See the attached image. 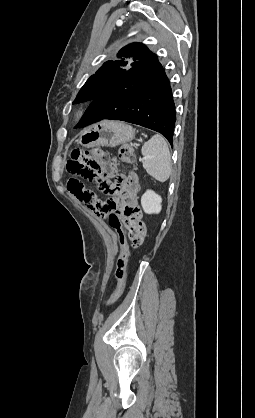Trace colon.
Masks as SVG:
<instances>
[{
    "instance_id": "1",
    "label": "colon",
    "mask_w": 255,
    "mask_h": 418,
    "mask_svg": "<svg viewBox=\"0 0 255 418\" xmlns=\"http://www.w3.org/2000/svg\"><path fill=\"white\" fill-rule=\"evenodd\" d=\"M118 157L122 164L129 165L134 160V154L130 146L124 145L119 149ZM67 170L72 175L79 176L89 182L98 185L101 192L109 194L106 200H101L91 190L86 189L83 183L72 177L68 181V189L85 205L93 210L98 217L108 216L109 222L120 234V258L117 261L115 276L117 287L105 305L111 306L123 293L125 287L126 266L131 256L130 240L127 234H122L125 228H145L142 221L141 209L135 205L125 211V220H123L118 211V198L114 196L113 186L111 184L112 168L108 164L107 156L99 149L84 150L74 148L70 152V159L67 164ZM128 238V239H127Z\"/></svg>"
}]
</instances>
